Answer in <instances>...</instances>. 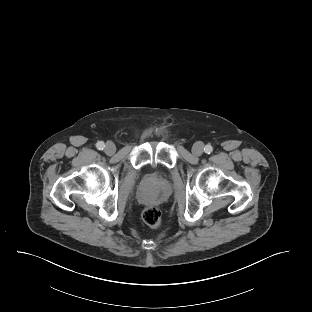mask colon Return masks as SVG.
Masks as SVG:
<instances>
[{
    "label": "colon",
    "instance_id": "colon-1",
    "mask_svg": "<svg viewBox=\"0 0 312 312\" xmlns=\"http://www.w3.org/2000/svg\"><path fill=\"white\" fill-rule=\"evenodd\" d=\"M143 221L151 228H158L162 224V214L155 206L146 207L142 213Z\"/></svg>",
    "mask_w": 312,
    "mask_h": 312
}]
</instances>
